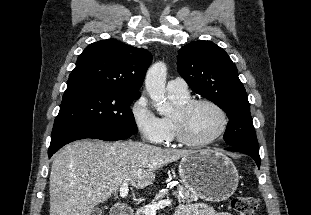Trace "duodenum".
<instances>
[{
  "label": "duodenum",
  "instance_id": "410a0bca",
  "mask_svg": "<svg viewBox=\"0 0 311 215\" xmlns=\"http://www.w3.org/2000/svg\"><path fill=\"white\" fill-rule=\"evenodd\" d=\"M111 215H132V211L129 206L118 204L113 207Z\"/></svg>",
  "mask_w": 311,
  "mask_h": 215
}]
</instances>
